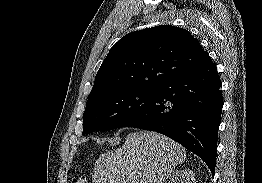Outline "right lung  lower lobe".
<instances>
[{
    "instance_id": "98d812e1",
    "label": "right lung lower lobe",
    "mask_w": 262,
    "mask_h": 183,
    "mask_svg": "<svg viewBox=\"0 0 262 183\" xmlns=\"http://www.w3.org/2000/svg\"><path fill=\"white\" fill-rule=\"evenodd\" d=\"M221 85L211 60L161 84L151 104L126 127L172 138L197 154L214 175L223 107Z\"/></svg>"
}]
</instances>
